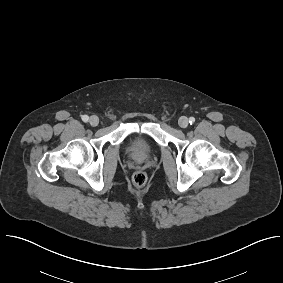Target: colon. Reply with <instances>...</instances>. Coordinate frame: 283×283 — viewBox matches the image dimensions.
I'll use <instances>...</instances> for the list:
<instances>
[{
  "mask_svg": "<svg viewBox=\"0 0 283 283\" xmlns=\"http://www.w3.org/2000/svg\"><path fill=\"white\" fill-rule=\"evenodd\" d=\"M146 182H147V175L144 172L138 171L133 174L132 183L135 187L141 188L146 184Z\"/></svg>",
  "mask_w": 283,
  "mask_h": 283,
  "instance_id": "obj_1",
  "label": "colon"
}]
</instances>
